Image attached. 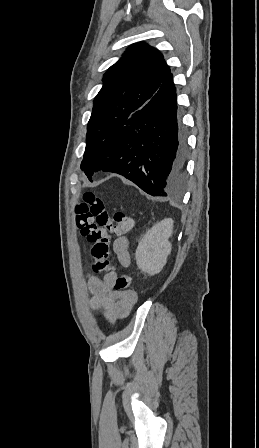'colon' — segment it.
I'll return each instance as SVG.
<instances>
[{
  "label": "colon",
  "mask_w": 259,
  "mask_h": 448,
  "mask_svg": "<svg viewBox=\"0 0 259 448\" xmlns=\"http://www.w3.org/2000/svg\"><path fill=\"white\" fill-rule=\"evenodd\" d=\"M75 222L83 237L90 243L92 270L101 275L115 267L109 260L111 235L123 236L132 230L134 220L122 212L110 215L103 201L93 192H85L82 201L75 207ZM131 277L121 273L116 278L114 288L128 291Z\"/></svg>",
  "instance_id": "1"
}]
</instances>
